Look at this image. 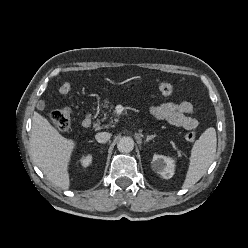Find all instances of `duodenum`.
<instances>
[{
	"label": "duodenum",
	"mask_w": 248,
	"mask_h": 248,
	"mask_svg": "<svg viewBox=\"0 0 248 248\" xmlns=\"http://www.w3.org/2000/svg\"><path fill=\"white\" fill-rule=\"evenodd\" d=\"M93 122V117L91 114H86L83 119L81 120V127L86 129V128H89L91 126Z\"/></svg>",
	"instance_id": "410a0bca"
}]
</instances>
